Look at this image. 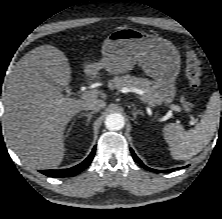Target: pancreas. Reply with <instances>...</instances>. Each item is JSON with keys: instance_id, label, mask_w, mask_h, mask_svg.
Returning a JSON list of instances; mask_svg holds the SVG:
<instances>
[{"instance_id": "obj_1", "label": "pancreas", "mask_w": 222, "mask_h": 219, "mask_svg": "<svg viewBox=\"0 0 222 219\" xmlns=\"http://www.w3.org/2000/svg\"><path fill=\"white\" fill-rule=\"evenodd\" d=\"M109 87L112 90L120 91L122 88H138L144 92V101L150 105H154L160 101L158 93V85L146 78H138L130 75H123L121 77H114L109 82ZM183 106L186 110H189L193 105L189 102L183 101Z\"/></svg>"}]
</instances>
